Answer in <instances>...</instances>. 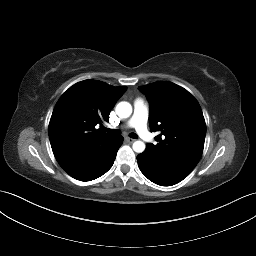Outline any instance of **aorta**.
<instances>
[{
	"mask_svg": "<svg viewBox=\"0 0 256 256\" xmlns=\"http://www.w3.org/2000/svg\"><path fill=\"white\" fill-rule=\"evenodd\" d=\"M115 111L120 118H128L132 114V106L130 103L122 101L117 104ZM132 148L135 152L142 153L145 150V143L140 140L135 141Z\"/></svg>",
	"mask_w": 256,
	"mask_h": 256,
	"instance_id": "762f6f07",
	"label": "aorta"
}]
</instances>
